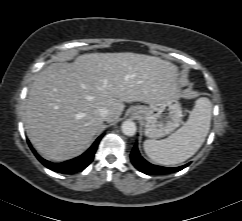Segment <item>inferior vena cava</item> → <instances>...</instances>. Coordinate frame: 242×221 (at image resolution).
I'll return each instance as SVG.
<instances>
[{
	"label": "inferior vena cava",
	"instance_id": "obj_1",
	"mask_svg": "<svg viewBox=\"0 0 242 221\" xmlns=\"http://www.w3.org/2000/svg\"><path fill=\"white\" fill-rule=\"evenodd\" d=\"M99 116L103 119V120H107L110 113L109 110L107 108H101L98 110Z\"/></svg>",
	"mask_w": 242,
	"mask_h": 221
}]
</instances>
